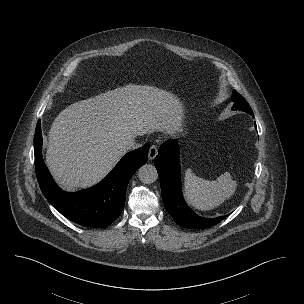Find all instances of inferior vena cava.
Here are the masks:
<instances>
[{
  "mask_svg": "<svg viewBox=\"0 0 304 304\" xmlns=\"http://www.w3.org/2000/svg\"><path fill=\"white\" fill-rule=\"evenodd\" d=\"M139 146H140V144L135 142L134 137L129 138L125 142V147H126L127 150H134V149H137Z\"/></svg>",
  "mask_w": 304,
  "mask_h": 304,
  "instance_id": "602c4592",
  "label": "inferior vena cava"
}]
</instances>
